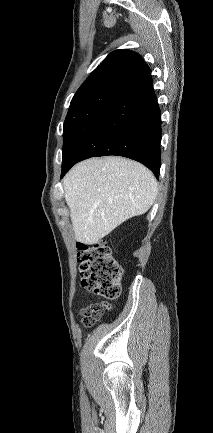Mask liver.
Wrapping results in <instances>:
<instances>
[{"label":"liver","mask_w":213,"mask_h":433,"mask_svg":"<svg viewBox=\"0 0 213 433\" xmlns=\"http://www.w3.org/2000/svg\"><path fill=\"white\" fill-rule=\"evenodd\" d=\"M63 186L75 238L87 245L146 213L158 191L148 168L114 156L76 164L64 177Z\"/></svg>","instance_id":"6515ba94"}]
</instances>
